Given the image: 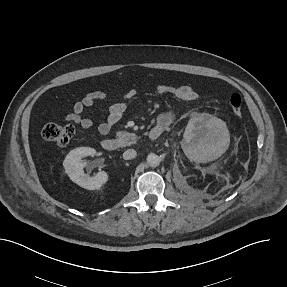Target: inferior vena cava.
Here are the masks:
<instances>
[{
	"mask_svg": "<svg viewBox=\"0 0 287 287\" xmlns=\"http://www.w3.org/2000/svg\"><path fill=\"white\" fill-rule=\"evenodd\" d=\"M137 152L134 149H128L123 153V158L125 160H130L136 156Z\"/></svg>",
	"mask_w": 287,
	"mask_h": 287,
	"instance_id": "inferior-vena-cava-1",
	"label": "inferior vena cava"
}]
</instances>
